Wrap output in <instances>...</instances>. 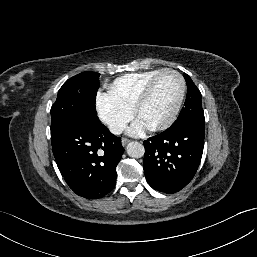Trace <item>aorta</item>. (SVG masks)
Returning <instances> with one entry per match:
<instances>
[{"mask_svg": "<svg viewBox=\"0 0 257 257\" xmlns=\"http://www.w3.org/2000/svg\"><path fill=\"white\" fill-rule=\"evenodd\" d=\"M127 154L132 158H141L144 156V146L139 142H130L127 147Z\"/></svg>", "mask_w": 257, "mask_h": 257, "instance_id": "762f6f07", "label": "aorta"}]
</instances>
